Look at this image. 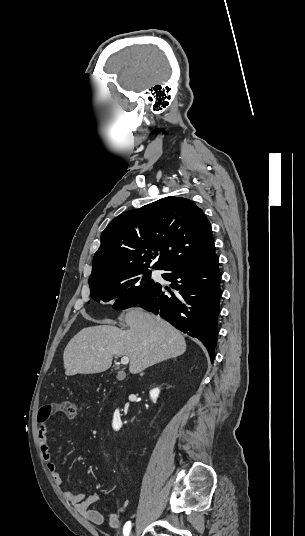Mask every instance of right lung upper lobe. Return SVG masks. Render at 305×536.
<instances>
[{"label":"right lung upper lobe","instance_id":"right-lung-upper-lobe-1","mask_svg":"<svg viewBox=\"0 0 305 536\" xmlns=\"http://www.w3.org/2000/svg\"><path fill=\"white\" fill-rule=\"evenodd\" d=\"M212 230L202 209L182 197H165L129 210L110 222L101 234L89 282L135 270H164L213 246Z\"/></svg>","mask_w":305,"mask_h":536}]
</instances>
